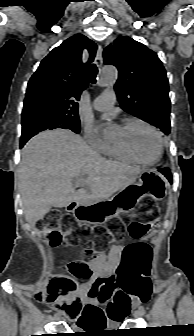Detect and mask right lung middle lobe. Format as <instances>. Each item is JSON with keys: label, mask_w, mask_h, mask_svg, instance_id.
<instances>
[{"label": "right lung middle lobe", "mask_w": 194, "mask_h": 336, "mask_svg": "<svg viewBox=\"0 0 194 336\" xmlns=\"http://www.w3.org/2000/svg\"><path fill=\"white\" fill-rule=\"evenodd\" d=\"M56 128L70 129L75 133H79L80 120L79 118L62 115H44L35 117L30 121L22 122L21 140L31 133H37L47 129L52 130Z\"/></svg>", "instance_id": "dd1d6c3e"}]
</instances>
